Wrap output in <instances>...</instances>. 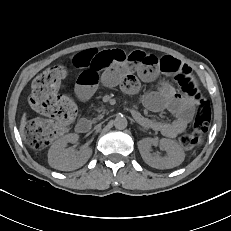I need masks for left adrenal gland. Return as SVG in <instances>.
<instances>
[{
	"instance_id": "obj_1",
	"label": "left adrenal gland",
	"mask_w": 231,
	"mask_h": 231,
	"mask_svg": "<svg viewBox=\"0 0 231 231\" xmlns=\"http://www.w3.org/2000/svg\"><path fill=\"white\" fill-rule=\"evenodd\" d=\"M141 131H143V132H145V130L144 129H142V128H139Z\"/></svg>"
}]
</instances>
